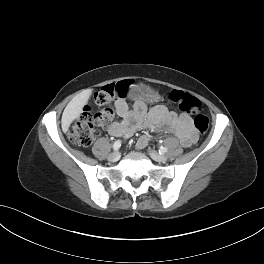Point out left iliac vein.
Segmentation results:
<instances>
[{
	"instance_id": "obj_1",
	"label": "left iliac vein",
	"mask_w": 264,
	"mask_h": 264,
	"mask_svg": "<svg viewBox=\"0 0 264 264\" xmlns=\"http://www.w3.org/2000/svg\"><path fill=\"white\" fill-rule=\"evenodd\" d=\"M149 155L151 156V158L157 162H166L167 161V157L164 155L159 154L158 152L154 151V150H150L149 151Z\"/></svg>"
}]
</instances>
